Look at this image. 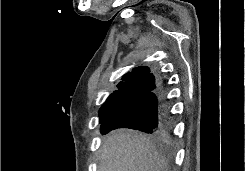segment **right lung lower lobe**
Instances as JSON below:
<instances>
[{
	"mask_svg": "<svg viewBox=\"0 0 245 171\" xmlns=\"http://www.w3.org/2000/svg\"><path fill=\"white\" fill-rule=\"evenodd\" d=\"M171 116L162 83L154 92L120 101L101 123V133L105 134L116 128H131L152 134L162 141H169Z\"/></svg>",
	"mask_w": 245,
	"mask_h": 171,
	"instance_id": "1",
	"label": "right lung lower lobe"
}]
</instances>
